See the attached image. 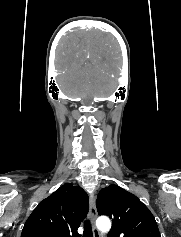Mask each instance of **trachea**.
Segmentation results:
<instances>
[{
    "mask_svg": "<svg viewBox=\"0 0 181 237\" xmlns=\"http://www.w3.org/2000/svg\"><path fill=\"white\" fill-rule=\"evenodd\" d=\"M83 237H93L92 228H91L89 220H86L84 223Z\"/></svg>",
    "mask_w": 181,
    "mask_h": 237,
    "instance_id": "3493384b",
    "label": "trachea"
}]
</instances>
